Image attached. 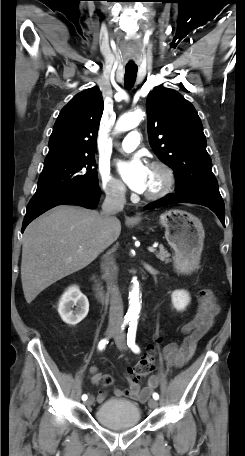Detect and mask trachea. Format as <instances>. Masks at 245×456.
Listing matches in <instances>:
<instances>
[{
	"label": "trachea",
	"instance_id": "obj_1",
	"mask_svg": "<svg viewBox=\"0 0 245 456\" xmlns=\"http://www.w3.org/2000/svg\"><path fill=\"white\" fill-rule=\"evenodd\" d=\"M137 76V66H126L124 84L127 89L133 87Z\"/></svg>",
	"mask_w": 245,
	"mask_h": 456
}]
</instances>
